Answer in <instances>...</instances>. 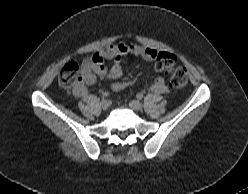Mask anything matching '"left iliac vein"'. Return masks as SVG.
Returning a JSON list of instances; mask_svg holds the SVG:
<instances>
[{
	"label": "left iliac vein",
	"mask_w": 248,
	"mask_h": 194,
	"mask_svg": "<svg viewBox=\"0 0 248 194\" xmlns=\"http://www.w3.org/2000/svg\"><path fill=\"white\" fill-rule=\"evenodd\" d=\"M130 108H132L135 111H139L142 109V105L138 100H132L129 102Z\"/></svg>",
	"instance_id": "1"
}]
</instances>
